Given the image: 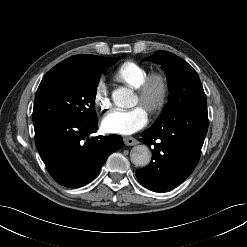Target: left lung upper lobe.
Wrapping results in <instances>:
<instances>
[{
	"label": "left lung upper lobe",
	"instance_id": "obj_1",
	"mask_svg": "<svg viewBox=\"0 0 247 247\" xmlns=\"http://www.w3.org/2000/svg\"><path fill=\"white\" fill-rule=\"evenodd\" d=\"M146 59L162 64L170 89L169 102L157 121L168 119L192 107H206V96L199 76L186 61L166 51H157Z\"/></svg>",
	"mask_w": 247,
	"mask_h": 247
}]
</instances>
